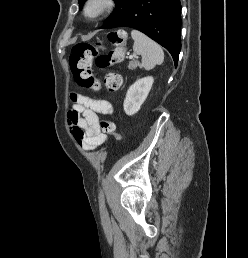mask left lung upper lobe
Returning <instances> with one entry per match:
<instances>
[{
	"label": "left lung upper lobe",
	"mask_w": 248,
	"mask_h": 258,
	"mask_svg": "<svg viewBox=\"0 0 248 258\" xmlns=\"http://www.w3.org/2000/svg\"><path fill=\"white\" fill-rule=\"evenodd\" d=\"M86 0H78L79 4H83ZM116 5V10L111 14V16L104 22H108L113 17L116 16V14L129 2V0H114Z\"/></svg>",
	"instance_id": "obj_1"
}]
</instances>
